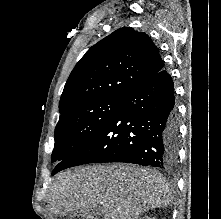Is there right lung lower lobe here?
<instances>
[{"label": "right lung lower lobe", "instance_id": "obj_1", "mask_svg": "<svg viewBox=\"0 0 221 219\" xmlns=\"http://www.w3.org/2000/svg\"><path fill=\"white\" fill-rule=\"evenodd\" d=\"M174 84L165 70L137 85L121 99L100 131L52 174L77 165L127 162L174 168L179 140Z\"/></svg>", "mask_w": 221, "mask_h": 219}]
</instances>
